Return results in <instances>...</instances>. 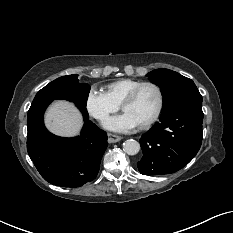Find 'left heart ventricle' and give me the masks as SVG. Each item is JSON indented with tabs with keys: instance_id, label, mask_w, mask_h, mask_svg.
I'll list each match as a JSON object with an SVG mask.
<instances>
[{
	"instance_id": "1",
	"label": "left heart ventricle",
	"mask_w": 233,
	"mask_h": 233,
	"mask_svg": "<svg viewBox=\"0 0 233 233\" xmlns=\"http://www.w3.org/2000/svg\"><path fill=\"white\" fill-rule=\"evenodd\" d=\"M158 105V93L152 86L143 87L136 98L125 106L124 111L129 113L139 124L147 121L155 112Z\"/></svg>"
}]
</instances>
